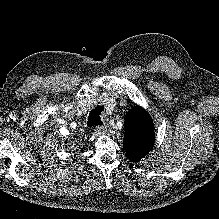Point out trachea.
Segmentation results:
<instances>
[{"mask_svg": "<svg viewBox=\"0 0 219 219\" xmlns=\"http://www.w3.org/2000/svg\"><path fill=\"white\" fill-rule=\"evenodd\" d=\"M103 110H104L103 106H97L89 113L88 121H87V125L89 127L103 125V122L100 119V114Z\"/></svg>", "mask_w": 219, "mask_h": 219, "instance_id": "trachea-1", "label": "trachea"}]
</instances>
